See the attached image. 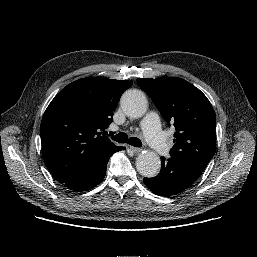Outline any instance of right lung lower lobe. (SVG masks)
<instances>
[{
	"label": "right lung lower lobe",
	"instance_id": "98d812e1",
	"mask_svg": "<svg viewBox=\"0 0 257 257\" xmlns=\"http://www.w3.org/2000/svg\"><path fill=\"white\" fill-rule=\"evenodd\" d=\"M125 149L124 147L117 146L111 152L104 155L93 165L81 171L79 174L69 179L63 184L71 190L74 191H87L93 187H95L98 183H100L104 176L106 175L107 163L110 156L120 150Z\"/></svg>",
	"mask_w": 257,
	"mask_h": 257
}]
</instances>
